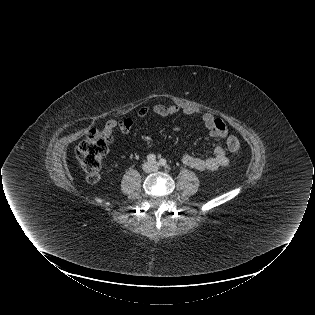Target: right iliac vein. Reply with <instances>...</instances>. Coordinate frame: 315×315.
I'll use <instances>...</instances> for the list:
<instances>
[{"instance_id": "63e3f726", "label": "right iliac vein", "mask_w": 315, "mask_h": 315, "mask_svg": "<svg viewBox=\"0 0 315 315\" xmlns=\"http://www.w3.org/2000/svg\"><path fill=\"white\" fill-rule=\"evenodd\" d=\"M144 170L149 171L152 168L151 163L147 162L143 165Z\"/></svg>"}]
</instances>
